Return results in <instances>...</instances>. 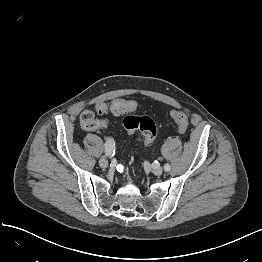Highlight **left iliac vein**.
Here are the masks:
<instances>
[{
    "mask_svg": "<svg viewBox=\"0 0 262 262\" xmlns=\"http://www.w3.org/2000/svg\"><path fill=\"white\" fill-rule=\"evenodd\" d=\"M148 167L157 176H160L163 173V169L161 167L149 165V164Z\"/></svg>",
    "mask_w": 262,
    "mask_h": 262,
    "instance_id": "1",
    "label": "left iliac vein"
}]
</instances>
